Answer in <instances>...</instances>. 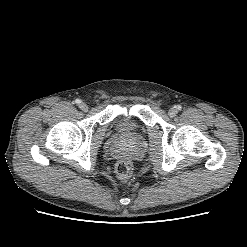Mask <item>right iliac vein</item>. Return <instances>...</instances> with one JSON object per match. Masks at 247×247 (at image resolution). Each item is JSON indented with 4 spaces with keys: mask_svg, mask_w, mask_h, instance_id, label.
<instances>
[{
    "mask_svg": "<svg viewBox=\"0 0 247 247\" xmlns=\"http://www.w3.org/2000/svg\"><path fill=\"white\" fill-rule=\"evenodd\" d=\"M79 108L83 111V112H87L88 111V105L86 103H80L79 104Z\"/></svg>",
    "mask_w": 247,
    "mask_h": 247,
    "instance_id": "obj_1",
    "label": "right iliac vein"
}]
</instances>
